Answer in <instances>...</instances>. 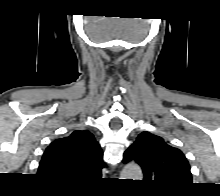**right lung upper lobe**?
Wrapping results in <instances>:
<instances>
[{"instance_id": "obj_1", "label": "right lung upper lobe", "mask_w": 220, "mask_h": 196, "mask_svg": "<svg viewBox=\"0 0 220 196\" xmlns=\"http://www.w3.org/2000/svg\"><path fill=\"white\" fill-rule=\"evenodd\" d=\"M103 152L87 130L53 141L41 159L38 175L52 184L78 186L101 177Z\"/></svg>"}]
</instances>
